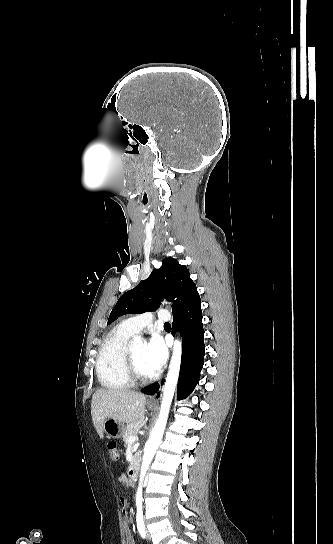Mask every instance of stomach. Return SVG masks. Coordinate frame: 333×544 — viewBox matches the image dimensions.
Listing matches in <instances>:
<instances>
[{
	"label": "stomach",
	"mask_w": 333,
	"mask_h": 544,
	"mask_svg": "<svg viewBox=\"0 0 333 544\" xmlns=\"http://www.w3.org/2000/svg\"><path fill=\"white\" fill-rule=\"evenodd\" d=\"M103 431L109 438H120L124 433V423L108 418L104 421Z\"/></svg>",
	"instance_id": "1"
}]
</instances>
